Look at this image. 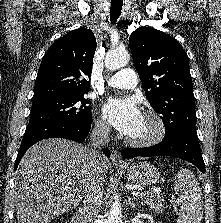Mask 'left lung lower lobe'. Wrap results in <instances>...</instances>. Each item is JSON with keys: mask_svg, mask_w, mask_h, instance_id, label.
Instances as JSON below:
<instances>
[{"mask_svg": "<svg viewBox=\"0 0 221 223\" xmlns=\"http://www.w3.org/2000/svg\"><path fill=\"white\" fill-rule=\"evenodd\" d=\"M125 158L137 156H172L194 164L205 173V164L201 155L196 130H182L162 142L146 148H125L121 151Z\"/></svg>", "mask_w": 221, "mask_h": 223, "instance_id": "1", "label": "left lung lower lobe"}]
</instances>
